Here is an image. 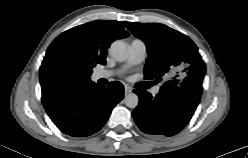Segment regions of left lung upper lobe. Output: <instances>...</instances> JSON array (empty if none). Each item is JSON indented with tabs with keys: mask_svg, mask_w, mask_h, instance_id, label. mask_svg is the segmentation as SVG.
<instances>
[{
	"mask_svg": "<svg viewBox=\"0 0 248 158\" xmlns=\"http://www.w3.org/2000/svg\"><path fill=\"white\" fill-rule=\"evenodd\" d=\"M127 28L147 46L145 79L162 77L160 93L184 92L200 97L206 67L197 46L186 35L163 24L125 22Z\"/></svg>",
	"mask_w": 248,
	"mask_h": 158,
	"instance_id": "left-lung-upper-lobe-1",
	"label": "left lung upper lobe"
}]
</instances>
